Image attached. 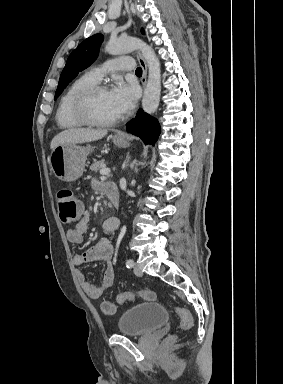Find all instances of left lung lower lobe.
Here are the masks:
<instances>
[{"label": "left lung lower lobe", "instance_id": "0a47b994", "mask_svg": "<svg viewBox=\"0 0 283 384\" xmlns=\"http://www.w3.org/2000/svg\"><path fill=\"white\" fill-rule=\"evenodd\" d=\"M126 130L139 136L146 144H154L160 134V125L152 116L139 110L136 117L129 121Z\"/></svg>", "mask_w": 283, "mask_h": 384}]
</instances>
